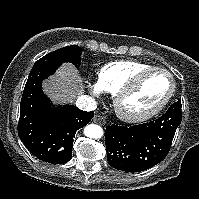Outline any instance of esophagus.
I'll return each instance as SVG.
<instances>
[{"instance_id":"esophagus-1","label":"esophagus","mask_w":199,"mask_h":199,"mask_svg":"<svg viewBox=\"0 0 199 199\" xmlns=\"http://www.w3.org/2000/svg\"><path fill=\"white\" fill-rule=\"evenodd\" d=\"M93 122L99 125H105L106 124V120L103 116L100 115H95L93 118Z\"/></svg>"}]
</instances>
